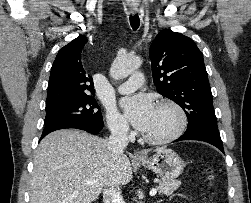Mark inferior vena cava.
<instances>
[{
	"label": "inferior vena cava",
	"mask_w": 251,
	"mask_h": 203,
	"mask_svg": "<svg viewBox=\"0 0 251 203\" xmlns=\"http://www.w3.org/2000/svg\"><path fill=\"white\" fill-rule=\"evenodd\" d=\"M128 143V127L122 123L114 125L108 141V149L111 151L114 159H117L119 155L123 154ZM103 198L104 203H123L119 186H112L105 189Z\"/></svg>",
	"instance_id": "602c4592"
}]
</instances>
